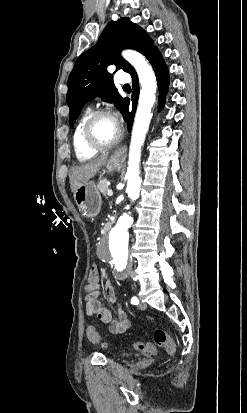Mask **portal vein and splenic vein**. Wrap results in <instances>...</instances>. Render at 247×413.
Returning <instances> with one entry per match:
<instances>
[{"instance_id": "1", "label": "portal vein and splenic vein", "mask_w": 247, "mask_h": 413, "mask_svg": "<svg viewBox=\"0 0 247 413\" xmlns=\"http://www.w3.org/2000/svg\"><path fill=\"white\" fill-rule=\"evenodd\" d=\"M107 194H108V196H112V194H113V190H111V188H108V190H107Z\"/></svg>"}]
</instances>
